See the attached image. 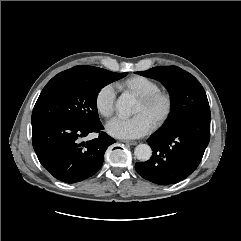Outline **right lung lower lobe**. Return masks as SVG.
<instances>
[{"instance_id": "obj_1", "label": "right lung lower lobe", "mask_w": 241, "mask_h": 241, "mask_svg": "<svg viewBox=\"0 0 241 241\" xmlns=\"http://www.w3.org/2000/svg\"><path fill=\"white\" fill-rule=\"evenodd\" d=\"M102 124L86 127L65 121L32 124V142L41 165L57 180L76 183L94 175L104 153L115 140L101 132L98 138L80 143L82 137L100 132Z\"/></svg>"}]
</instances>
